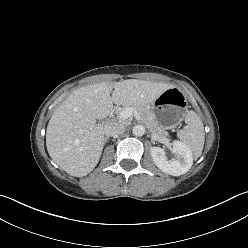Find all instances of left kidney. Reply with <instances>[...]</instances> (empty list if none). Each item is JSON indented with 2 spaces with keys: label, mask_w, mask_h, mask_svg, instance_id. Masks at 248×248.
Wrapping results in <instances>:
<instances>
[{
  "label": "left kidney",
  "mask_w": 248,
  "mask_h": 248,
  "mask_svg": "<svg viewBox=\"0 0 248 248\" xmlns=\"http://www.w3.org/2000/svg\"><path fill=\"white\" fill-rule=\"evenodd\" d=\"M172 152L176 158L168 160L165 150L160 147H151L150 152L156 166L163 172L180 176L189 171L193 164L190 148L180 141H174Z\"/></svg>",
  "instance_id": "left-kidney-1"
}]
</instances>
